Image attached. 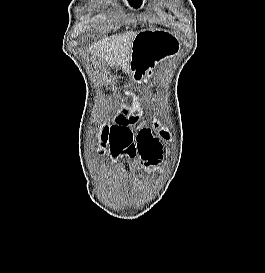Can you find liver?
Listing matches in <instances>:
<instances>
[{"mask_svg":"<svg viewBox=\"0 0 265 273\" xmlns=\"http://www.w3.org/2000/svg\"><path fill=\"white\" fill-rule=\"evenodd\" d=\"M136 33L126 32L122 35H115L111 38H105L97 44L92 45L89 51L92 54L102 56L103 60L110 66H122L127 72L131 62V48Z\"/></svg>","mask_w":265,"mask_h":273,"instance_id":"obj_1","label":"liver"}]
</instances>
